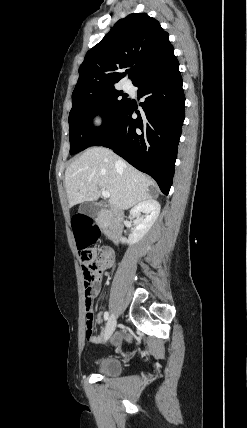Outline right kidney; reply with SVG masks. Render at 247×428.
<instances>
[{"mask_svg":"<svg viewBox=\"0 0 247 428\" xmlns=\"http://www.w3.org/2000/svg\"><path fill=\"white\" fill-rule=\"evenodd\" d=\"M160 209V204L154 199H147L134 206L130 211L129 218H136V226L128 239L122 237L121 242L129 245L139 242L155 223L160 214ZM141 213L145 215L141 216Z\"/></svg>","mask_w":247,"mask_h":428,"instance_id":"ca27d5eb","label":"right kidney"}]
</instances>
